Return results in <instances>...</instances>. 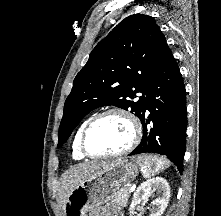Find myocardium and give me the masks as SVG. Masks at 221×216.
Returning a JSON list of instances; mask_svg holds the SVG:
<instances>
[{
  "mask_svg": "<svg viewBox=\"0 0 221 216\" xmlns=\"http://www.w3.org/2000/svg\"><path fill=\"white\" fill-rule=\"evenodd\" d=\"M108 115H119L129 122L131 129H132L131 140L125 148H123L119 151L111 152V153H92L88 149L87 144H86L87 134H88L90 128L97 121H99L100 119H102ZM141 136H142V125H141L139 119L133 113H131L129 110L122 108V107H111V108H108V109L94 115L93 117H91L88 120V122L85 124V126L81 132L80 139H79V146H80L82 153L86 156L91 157V158H101V159L115 158V157L125 155L128 152H130L132 149H134L137 146V144L139 143Z\"/></svg>",
  "mask_w": 221,
  "mask_h": 216,
  "instance_id": "myocardium-1",
  "label": "myocardium"
}]
</instances>
